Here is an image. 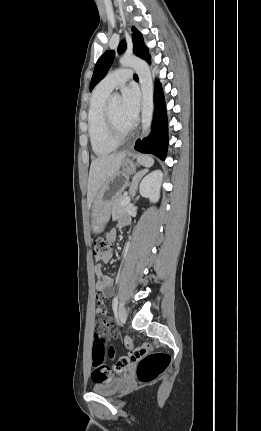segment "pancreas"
Wrapping results in <instances>:
<instances>
[{
    "label": "pancreas",
    "mask_w": 261,
    "mask_h": 431,
    "mask_svg": "<svg viewBox=\"0 0 261 431\" xmlns=\"http://www.w3.org/2000/svg\"><path fill=\"white\" fill-rule=\"evenodd\" d=\"M126 196L125 195H118L112 203L111 210H112V216L117 217L120 214H123L127 210V205L122 206L121 202L124 200Z\"/></svg>",
    "instance_id": "1"
}]
</instances>
